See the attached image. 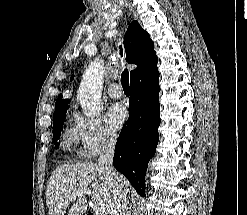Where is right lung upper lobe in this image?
I'll list each match as a JSON object with an SVG mask.
<instances>
[{
	"mask_svg": "<svg viewBox=\"0 0 247 215\" xmlns=\"http://www.w3.org/2000/svg\"><path fill=\"white\" fill-rule=\"evenodd\" d=\"M124 46L127 55L126 61L137 65V68L130 72V78L157 58L150 35L142 29L137 21H133L129 25L124 36ZM68 103L69 99H62V94H60L56 100L54 115L65 111Z\"/></svg>",
	"mask_w": 247,
	"mask_h": 215,
	"instance_id": "1",
	"label": "right lung upper lobe"
}]
</instances>
